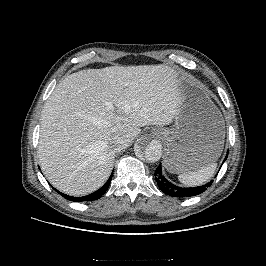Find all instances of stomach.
<instances>
[{
  "mask_svg": "<svg viewBox=\"0 0 266 266\" xmlns=\"http://www.w3.org/2000/svg\"><path fill=\"white\" fill-rule=\"evenodd\" d=\"M177 75L180 104L174 128L157 127L153 133L167 146L165 167L179 174L200 170L218 159L224 146L225 126L203 86L182 73Z\"/></svg>",
  "mask_w": 266,
  "mask_h": 266,
  "instance_id": "1",
  "label": "stomach"
}]
</instances>
